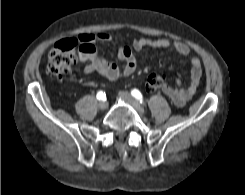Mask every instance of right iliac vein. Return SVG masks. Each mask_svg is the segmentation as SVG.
Returning a JSON list of instances; mask_svg holds the SVG:
<instances>
[{
    "instance_id": "obj_1",
    "label": "right iliac vein",
    "mask_w": 245,
    "mask_h": 195,
    "mask_svg": "<svg viewBox=\"0 0 245 195\" xmlns=\"http://www.w3.org/2000/svg\"><path fill=\"white\" fill-rule=\"evenodd\" d=\"M98 107L100 110H105L108 108V103L106 101H101L99 102Z\"/></svg>"
}]
</instances>
